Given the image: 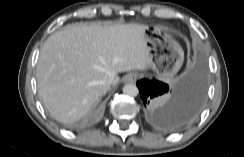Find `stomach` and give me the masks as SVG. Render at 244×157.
<instances>
[{"label":"stomach","instance_id":"1","mask_svg":"<svg viewBox=\"0 0 244 157\" xmlns=\"http://www.w3.org/2000/svg\"><path fill=\"white\" fill-rule=\"evenodd\" d=\"M149 52L148 67L163 81L170 80L181 68L184 51L164 29L147 26L144 33Z\"/></svg>","mask_w":244,"mask_h":157}]
</instances>
